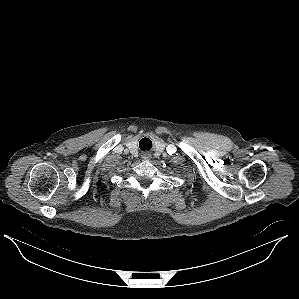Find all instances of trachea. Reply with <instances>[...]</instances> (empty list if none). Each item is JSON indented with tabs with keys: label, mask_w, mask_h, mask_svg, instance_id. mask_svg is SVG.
Segmentation results:
<instances>
[{
	"label": "trachea",
	"mask_w": 299,
	"mask_h": 299,
	"mask_svg": "<svg viewBox=\"0 0 299 299\" xmlns=\"http://www.w3.org/2000/svg\"><path fill=\"white\" fill-rule=\"evenodd\" d=\"M141 150H149L152 147V142L148 138H143L139 142Z\"/></svg>",
	"instance_id": "obj_1"
}]
</instances>
